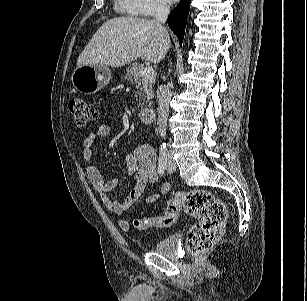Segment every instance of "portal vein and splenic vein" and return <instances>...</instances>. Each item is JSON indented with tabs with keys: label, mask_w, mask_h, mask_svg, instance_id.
<instances>
[{
	"label": "portal vein and splenic vein",
	"mask_w": 307,
	"mask_h": 301,
	"mask_svg": "<svg viewBox=\"0 0 307 301\" xmlns=\"http://www.w3.org/2000/svg\"><path fill=\"white\" fill-rule=\"evenodd\" d=\"M142 76H144L145 78H150L153 77L154 75V69L152 67H146L143 68L141 71Z\"/></svg>",
	"instance_id": "obj_1"
}]
</instances>
